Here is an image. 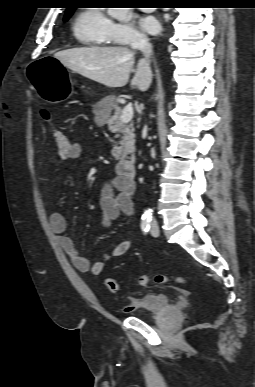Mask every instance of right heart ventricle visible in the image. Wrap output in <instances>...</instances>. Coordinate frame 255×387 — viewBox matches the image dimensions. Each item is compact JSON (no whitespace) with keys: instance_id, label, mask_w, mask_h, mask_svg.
Wrapping results in <instances>:
<instances>
[{"instance_id":"right-heart-ventricle-1","label":"right heart ventricle","mask_w":255,"mask_h":387,"mask_svg":"<svg viewBox=\"0 0 255 387\" xmlns=\"http://www.w3.org/2000/svg\"><path fill=\"white\" fill-rule=\"evenodd\" d=\"M111 20L107 13L98 8L82 10L72 24L74 37L83 45L104 46L109 44Z\"/></svg>"}]
</instances>
